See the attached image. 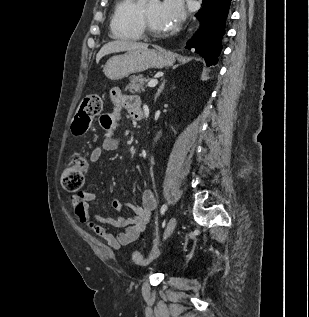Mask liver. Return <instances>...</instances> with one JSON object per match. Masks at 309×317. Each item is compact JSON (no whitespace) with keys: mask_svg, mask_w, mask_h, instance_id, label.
<instances>
[{"mask_svg":"<svg viewBox=\"0 0 309 317\" xmlns=\"http://www.w3.org/2000/svg\"><path fill=\"white\" fill-rule=\"evenodd\" d=\"M148 44L141 42H133L128 40H115L105 44L96 55V63L98 64L102 57L117 52L130 51L136 49H145Z\"/></svg>","mask_w":309,"mask_h":317,"instance_id":"obj_1","label":"liver"}]
</instances>
